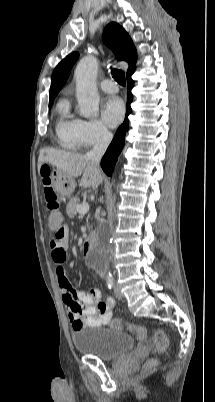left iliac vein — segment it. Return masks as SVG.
Segmentation results:
<instances>
[{
    "mask_svg": "<svg viewBox=\"0 0 215 402\" xmlns=\"http://www.w3.org/2000/svg\"><path fill=\"white\" fill-rule=\"evenodd\" d=\"M114 292H115V296H116L118 299H121V298H122V294L120 293V290H119V288H118L117 285H115Z\"/></svg>",
    "mask_w": 215,
    "mask_h": 402,
    "instance_id": "obj_1",
    "label": "left iliac vein"
}]
</instances>
